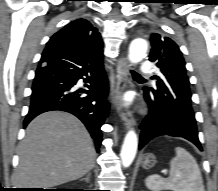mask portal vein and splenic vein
Here are the masks:
<instances>
[{"instance_id":"1","label":"portal vein and splenic vein","mask_w":218,"mask_h":191,"mask_svg":"<svg viewBox=\"0 0 218 191\" xmlns=\"http://www.w3.org/2000/svg\"><path fill=\"white\" fill-rule=\"evenodd\" d=\"M164 174H167V171H162Z\"/></svg>"}]
</instances>
